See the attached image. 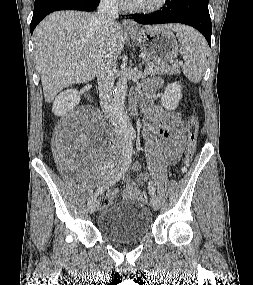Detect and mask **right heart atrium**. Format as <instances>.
<instances>
[{"label": "right heart atrium", "mask_w": 253, "mask_h": 285, "mask_svg": "<svg viewBox=\"0 0 253 285\" xmlns=\"http://www.w3.org/2000/svg\"><path fill=\"white\" fill-rule=\"evenodd\" d=\"M104 1L111 6H119L122 3V0H104Z\"/></svg>", "instance_id": "obj_1"}]
</instances>
